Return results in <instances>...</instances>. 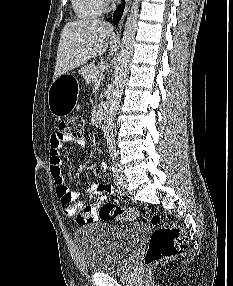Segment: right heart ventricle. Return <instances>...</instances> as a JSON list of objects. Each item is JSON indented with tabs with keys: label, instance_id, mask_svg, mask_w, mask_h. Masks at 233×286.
Returning <instances> with one entry per match:
<instances>
[{
	"label": "right heart ventricle",
	"instance_id": "right-heart-ventricle-1",
	"mask_svg": "<svg viewBox=\"0 0 233 286\" xmlns=\"http://www.w3.org/2000/svg\"><path fill=\"white\" fill-rule=\"evenodd\" d=\"M72 7L78 18L83 20L95 19L104 9L103 0H71Z\"/></svg>",
	"mask_w": 233,
	"mask_h": 286
}]
</instances>
